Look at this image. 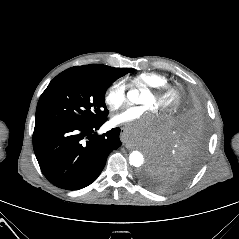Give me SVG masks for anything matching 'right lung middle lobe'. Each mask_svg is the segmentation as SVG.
Returning a JSON list of instances; mask_svg holds the SVG:
<instances>
[{
    "label": "right lung middle lobe",
    "mask_w": 239,
    "mask_h": 239,
    "mask_svg": "<svg viewBox=\"0 0 239 239\" xmlns=\"http://www.w3.org/2000/svg\"><path fill=\"white\" fill-rule=\"evenodd\" d=\"M134 71L122 68L108 74L62 72L42 93L37 109V122L92 124L107 117L104 97L108 87L119 77Z\"/></svg>",
    "instance_id": "dd1d6c3e"
}]
</instances>
